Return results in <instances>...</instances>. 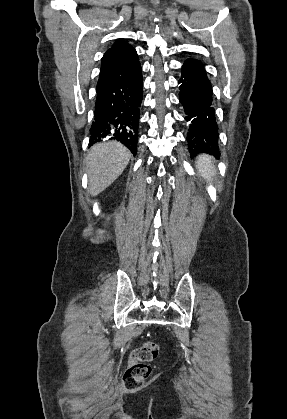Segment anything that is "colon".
I'll use <instances>...</instances> for the list:
<instances>
[{
	"mask_svg": "<svg viewBox=\"0 0 287 419\" xmlns=\"http://www.w3.org/2000/svg\"><path fill=\"white\" fill-rule=\"evenodd\" d=\"M158 354V346L153 342H146L131 352L129 365L124 373L123 385L127 390L141 388L151 371L149 363Z\"/></svg>",
	"mask_w": 287,
	"mask_h": 419,
	"instance_id": "5ec220e1",
	"label": "colon"
}]
</instances>
